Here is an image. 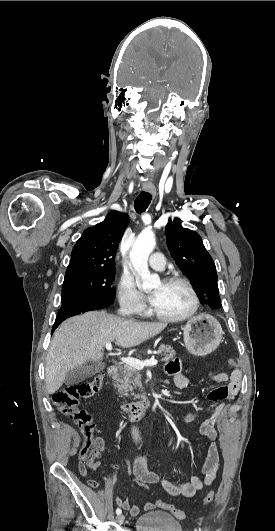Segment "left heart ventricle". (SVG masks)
<instances>
[{
	"mask_svg": "<svg viewBox=\"0 0 275 531\" xmlns=\"http://www.w3.org/2000/svg\"><path fill=\"white\" fill-rule=\"evenodd\" d=\"M155 309L164 316H180L192 304L189 291L180 283L159 282L151 289Z\"/></svg>",
	"mask_w": 275,
	"mask_h": 531,
	"instance_id": "b2bd125f",
	"label": "left heart ventricle"
}]
</instances>
